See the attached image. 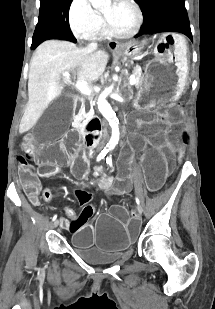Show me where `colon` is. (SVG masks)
<instances>
[{"instance_id": "colon-1", "label": "colon", "mask_w": 215, "mask_h": 309, "mask_svg": "<svg viewBox=\"0 0 215 309\" xmlns=\"http://www.w3.org/2000/svg\"><path fill=\"white\" fill-rule=\"evenodd\" d=\"M181 138L184 142H187L188 141V134L186 132H183L182 135H181ZM40 153H41V151L36 152V156H40ZM29 156H31V155H29ZM42 157H44V156H42ZM19 163L21 165L29 166V158L27 156L20 155L19 156ZM55 170H56L55 160H48V159L40 160V166H39L40 173H42V174L53 173ZM42 196H43V199L49 200L52 196L51 190L48 189V188L44 189ZM94 213H95V207H94V205H90V206H87L84 209L83 216L85 218H89V217H92L94 215Z\"/></svg>"}]
</instances>
